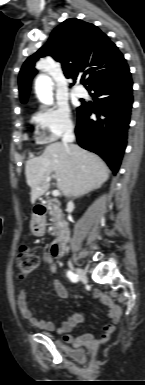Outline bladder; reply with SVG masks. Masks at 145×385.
I'll return each mask as SVG.
<instances>
[{
	"label": "bladder",
	"instance_id": "obj_1",
	"mask_svg": "<svg viewBox=\"0 0 145 385\" xmlns=\"http://www.w3.org/2000/svg\"><path fill=\"white\" fill-rule=\"evenodd\" d=\"M75 353L76 354H80V355H84L85 354V352L83 350H77V351H75Z\"/></svg>",
	"mask_w": 145,
	"mask_h": 385
}]
</instances>
